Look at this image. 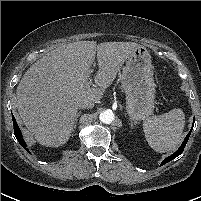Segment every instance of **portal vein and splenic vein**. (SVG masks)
Listing matches in <instances>:
<instances>
[{"label":"portal vein and splenic vein","mask_w":201,"mask_h":201,"mask_svg":"<svg viewBox=\"0 0 201 201\" xmlns=\"http://www.w3.org/2000/svg\"><path fill=\"white\" fill-rule=\"evenodd\" d=\"M90 85H91V80H89V81H87V82L85 83V86H86V87H90Z\"/></svg>","instance_id":"portal-vein-and-splenic-vein-1"}]
</instances>
